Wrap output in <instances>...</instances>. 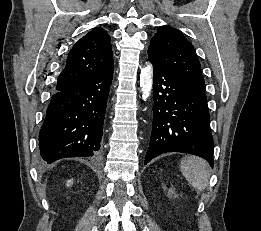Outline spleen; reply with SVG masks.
<instances>
[{
    "instance_id": "1",
    "label": "spleen",
    "mask_w": 261,
    "mask_h": 231,
    "mask_svg": "<svg viewBox=\"0 0 261 231\" xmlns=\"http://www.w3.org/2000/svg\"><path fill=\"white\" fill-rule=\"evenodd\" d=\"M180 169L189 184L196 188L198 192L207 187L210 170L205 160L194 156H187L182 159Z\"/></svg>"
}]
</instances>
